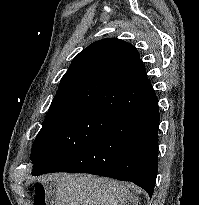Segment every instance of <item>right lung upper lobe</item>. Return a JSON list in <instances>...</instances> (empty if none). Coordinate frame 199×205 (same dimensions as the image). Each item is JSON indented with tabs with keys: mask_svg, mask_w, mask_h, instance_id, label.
<instances>
[{
	"mask_svg": "<svg viewBox=\"0 0 199 205\" xmlns=\"http://www.w3.org/2000/svg\"><path fill=\"white\" fill-rule=\"evenodd\" d=\"M143 82L149 81L136 48L117 38L102 39L73 59L48 112L90 107L122 118L143 104L129 88Z\"/></svg>",
	"mask_w": 199,
	"mask_h": 205,
	"instance_id": "right-lung-upper-lobe-1",
	"label": "right lung upper lobe"
}]
</instances>
